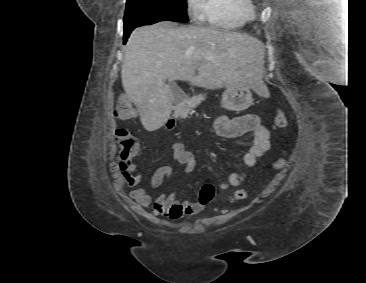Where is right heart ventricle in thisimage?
Wrapping results in <instances>:
<instances>
[{"instance_id": "right-heart-ventricle-1", "label": "right heart ventricle", "mask_w": 366, "mask_h": 283, "mask_svg": "<svg viewBox=\"0 0 366 283\" xmlns=\"http://www.w3.org/2000/svg\"><path fill=\"white\" fill-rule=\"evenodd\" d=\"M255 14L252 0H204L201 19L224 30L245 26Z\"/></svg>"}]
</instances>
